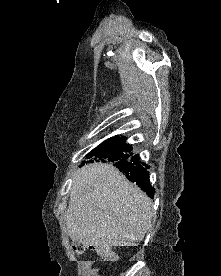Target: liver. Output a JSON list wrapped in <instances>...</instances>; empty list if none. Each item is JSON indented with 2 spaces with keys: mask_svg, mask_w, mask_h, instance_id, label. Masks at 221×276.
<instances>
[{
  "mask_svg": "<svg viewBox=\"0 0 221 276\" xmlns=\"http://www.w3.org/2000/svg\"><path fill=\"white\" fill-rule=\"evenodd\" d=\"M152 217V201L114 166L94 163L74 175L66 213L72 241L101 250L136 246Z\"/></svg>",
  "mask_w": 221,
  "mask_h": 276,
  "instance_id": "6515ba94",
  "label": "liver"
}]
</instances>
